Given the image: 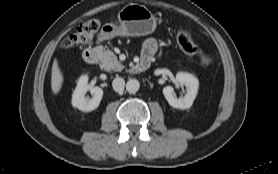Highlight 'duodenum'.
Segmentation results:
<instances>
[{
	"instance_id": "1",
	"label": "duodenum",
	"mask_w": 278,
	"mask_h": 174,
	"mask_svg": "<svg viewBox=\"0 0 278 174\" xmlns=\"http://www.w3.org/2000/svg\"><path fill=\"white\" fill-rule=\"evenodd\" d=\"M99 57L98 48H88L83 52V59L88 64H95ZM151 59L143 58L136 67V71L143 72L150 67Z\"/></svg>"
}]
</instances>
